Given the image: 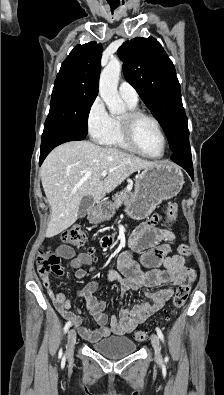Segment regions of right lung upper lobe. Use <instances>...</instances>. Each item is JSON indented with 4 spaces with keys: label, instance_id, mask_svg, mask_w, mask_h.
Segmentation results:
<instances>
[{
    "label": "right lung upper lobe",
    "instance_id": "1",
    "mask_svg": "<svg viewBox=\"0 0 224 395\" xmlns=\"http://www.w3.org/2000/svg\"><path fill=\"white\" fill-rule=\"evenodd\" d=\"M103 47L95 41L78 44L62 63L55 82L98 92Z\"/></svg>",
    "mask_w": 224,
    "mask_h": 395
}]
</instances>
